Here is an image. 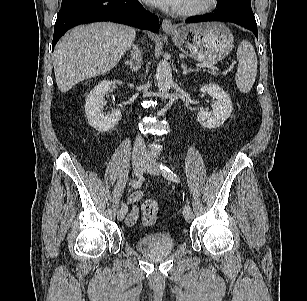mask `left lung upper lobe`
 Listing matches in <instances>:
<instances>
[{"instance_id":"left-lung-upper-lobe-1","label":"left lung upper lobe","mask_w":307,"mask_h":301,"mask_svg":"<svg viewBox=\"0 0 307 301\" xmlns=\"http://www.w3.org/2000/svg\"><path fill=\"white\" fill-rule=\"evenodd\" d=\"M217 11L230 9H251V0H217Z\"/></svg>"}]
</instances>
